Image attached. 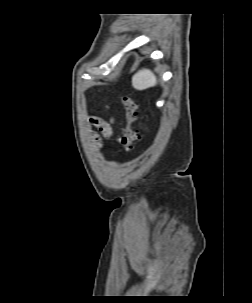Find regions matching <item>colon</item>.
<instances>
[{
  "instance_id": "5ec220e1",
  "label": "colon",
  "mask_w": 252,
  "mask_h": 303,
  "mask_svg": "<svg viewBox=\"0 0 252 303\" xmlns=\"http://www.w3.org/2000/svg\"><path fill=\"white\" fill-rule=\"evenodd\" d=\"M121 100L125 108L126 121L122 128V147L125 152H130L135 142L139 139V134L133 127L138 117V106L133 98L127 94L123 95Z\"/></svg>"
}]
</instances>
